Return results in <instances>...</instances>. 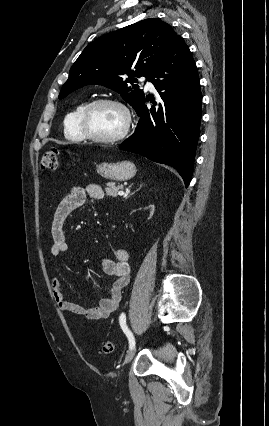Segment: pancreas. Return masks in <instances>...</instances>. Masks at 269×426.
<instances>
[{
  "label": "pancreas",
  "instance_id": "pancreas-1",
  "mask_svg": "<svg viewBox=\"0 0 269 426\" xmlns=\"http://www.w3.org/2000/svg\"><path fill=\"white\" fill-rule=\"evenodd\" d=\"M123 189V186L115 183H108L106 187V195L111 197H117L118 192Z\"/></svg>",
  "mask_w": 269,
  "mask_h": 426
}]
</instances>
